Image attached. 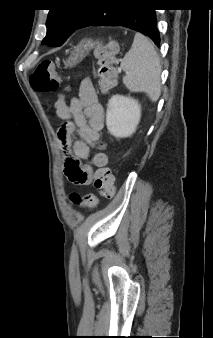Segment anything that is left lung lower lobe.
Masks as SVG:
<instances>
[{
	"label": "left lung lower lobe",
	"mask_w": 213,
	"mask_h": 338,
	"mask_svg": "<svg viewBox=\"0 0 213 338\" xmlns=\"http://www.w3.org/2000/svg\"><path fill=\"white\" fill-rule=\"evenodd\" d=\"M155 9L148 0H107L101 2L79 24L89 26H123L150 37L159 46Z\"/></svg>",
	"instance_id": "obj_1"
}]
</instances>
